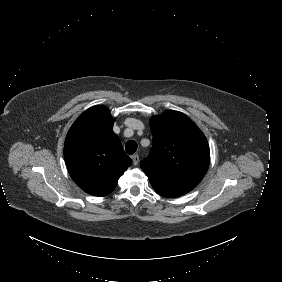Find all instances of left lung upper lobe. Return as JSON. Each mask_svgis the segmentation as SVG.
Instances as JSON below:
<instances>
[{
	"label": "left lung upper lobe",
	"instance_id": "obj_1",
	"mask_svg": "<svg viewBox=\"0 0 282 282\" xmlns=\"http://www.w3.org/2000/svg\"><path fill=\"white\" fill-rule=\"evenodd\" d=\"M153 134L148 158L140 166L151 185L190 191L205 176L210 151L207 139L185 114L165 111L150 119Z\"/></svg>",
	"mask_w": 282,
	"mask_h": 282
}]
</instances>
